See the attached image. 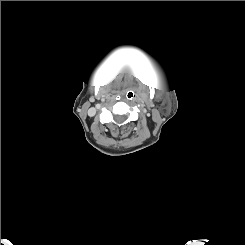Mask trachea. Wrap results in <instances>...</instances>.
I'll use <instances>...</instances> for the list:
<instances>
[{"mask_svg":"<svg viewBox=\"0 0 245 245\" xmlns=\"http://www.w3.org/2000/svg\"><path fill=\"white\" fill-rule=\"evenodd\" d=\"M126 96H127L128 99L131 100V99H133L135 97V94H134V92L132 90H130V91H128L126 93Z\"/></svg>","mask_w":245,"mask_h":245,"instance_id":"3493384b","label":"trachea"}]
</instances>
